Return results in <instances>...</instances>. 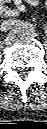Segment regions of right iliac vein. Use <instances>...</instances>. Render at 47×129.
I'll return each mask as SVG.
<instances>
[{
    "label": "right iliac vein",
    "instance_id": "63e3f726",
    "mask_svg": "<svg viewBox=\"0 0 47 129\" xmlns=\"http://www.w3.org/2000/svg\"><path fill=\"white\" fill-rule=\"evenodd\" d=\"M21 34H22V30L20 29L12 30L5 39L6 44L10 45L14 43L21 36Z\"/></svg>",
    "mask_w": 47,
    "mask_h": 129
}]
</instances>
